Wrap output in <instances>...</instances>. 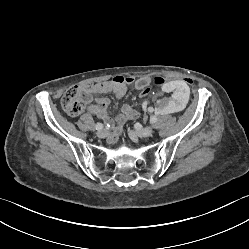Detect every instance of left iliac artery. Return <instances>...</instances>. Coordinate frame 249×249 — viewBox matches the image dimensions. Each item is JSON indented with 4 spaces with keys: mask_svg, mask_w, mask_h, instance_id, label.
<instances>
[{
    "mask_svg": "<svg viewBox=\"0 0 249 249\" xmlns=\"http://www.w3.org/2000/svg\"><path fill=\"white\" fill-rule=\"evenodd\" d=\"M156 121H157L156 116L153 115V116L150 117V123L153 124V123H155Z\"/></svg>",
    "mask_w": 249,
    "mask_h": 249,
    "instance_id": "44dca946",
    "label": "left iliac artery"
}]
</instances>
